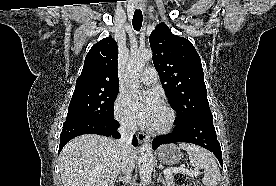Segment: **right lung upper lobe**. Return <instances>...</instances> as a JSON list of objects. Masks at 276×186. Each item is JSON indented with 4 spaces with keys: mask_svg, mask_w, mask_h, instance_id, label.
<instances>
[{
    "mask_svg": "<svg viewBox=\"0 0 276 186\" xmlns=\"http://www.w3.org/2000/svg\"><path fill=\"white\" fill-rule=\"evenodd\" d=\"M117 64L116 41L111 36L102 39L86 55L81 75L76 80V88L119 87Z\"/></svg>",
    "mask_w": 276,
    "mask_h": 186,
    "instance_id": "1",
    "label": "right lung upper lobe"
}]
</instances>
